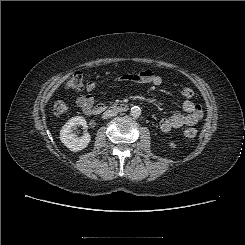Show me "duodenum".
I'll use <instances>...</instances> for the list:
<instances>
[{
    "instance_id": "1",
    "label": "duodenum",
    "mask_w": 245,
    "mask_h": 245,
    "mask_svg": "<svg viewBox=\"0 0 245 245\" xmlns=\"http://www.w3.org/2000/svg\"><path fill=\"white\" fill-rule=\"evenodd\" d=\"M110 108L113 111H116V112H119V113H123V112H126L129 109V106L127 104H124V103H116V104L110 106ZM107 109H108V106H106L104 104H98L96 106H92L89 109L88 114H90L92 116H96V115H99V114L103 113Z\"/></svg>"
}]
</instances>
